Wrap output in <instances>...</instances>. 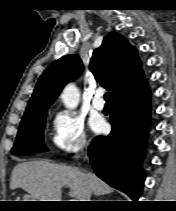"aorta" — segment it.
I'll list each match as a JSON object with an SVG mask.
<instances>
[{
  "mask_svg": "<svg viewBox=\"0 0 176 211\" xmlns=\"http://www.w3.org/2000/svg\"><path fill=\"white\" fill-rule=\"evenodd\" d=\"M61 99L66 108H76L80 99V94L76 86L74 84L67 85L61 94Z\"/></svg>",
  "mask_w": 176,
  "mask_h": 211,
  "instance_id": "1",
  "label": "aorta"
}]
</instances>
